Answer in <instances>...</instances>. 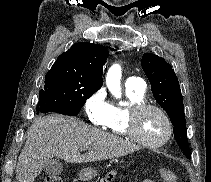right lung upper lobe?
I'll use <instances>...</instances> for the list:
<instances>
[{
    "label": "right lung upper lobe",
    "instance_id": "1",
    "mask_svg": "<svg viewBox=\"0 0 211 182\" xmlns=\"http://www.w3.org/2000/svg\"><path fill=\"white\" fill-rule=\"evenodd\" d=\"M107 58L108 50L104 46L78 42L62 53L50 70H60L81 81L102 86L103 65Z\"/></svg>",
    "mask_w": 211,
    "mask_h": 182
}]
</instances>
